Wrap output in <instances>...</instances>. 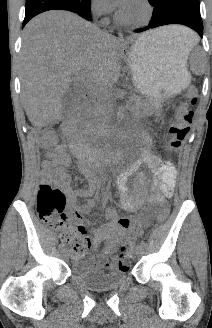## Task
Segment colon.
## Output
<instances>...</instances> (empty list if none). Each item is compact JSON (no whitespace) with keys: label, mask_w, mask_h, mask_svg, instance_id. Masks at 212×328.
<instances>
[{"label":"colon","mask_w":212,"mask_h":328,"mask_svg":"<svg viewBox=\"0 0 212 328\" xmlns=\"http://www.w3.org/2000/svg\"><path fill=\"white\" fill-rule=\"evenodd\" d=\"M197 99V88L190 87L186 92L184 100L181 102L180 115L169 128L168 147L170 150L178 151L187 137L193 120L191 107L196 103ZM55 140V136L52 133H48L42 137L40 141L41 147L47 149L55 143ZM65 205V195L59 187L52 184L40 185L36 203L39 218L56 229L63 228L61 233L62 242L69 246L74 256H80L88 248V239L85 237V229L83 227L78 226L75 229L66 227ZM169 212V207H162L157 215L158 222L163 223L166 221ZM118 265L121 269L128 268L126 247H122Z\"/></svg>","instance_id":"1"}]
</instances>
